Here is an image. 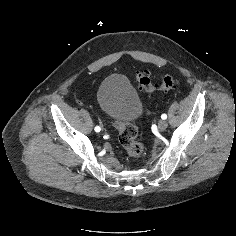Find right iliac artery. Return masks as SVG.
<instances>
[{"instance_id": "1", "label": "right iliac artery", "mask_w": 236, "mask_h": 236, "mask_svg": "<svg viewBox=\"0 0 236 236\" xmlns=\"http://www.w3.org/2000/svg\"><path fill=\"white\" fill-rule=\"evenodd\" d=\"M96 132H100L101 128L99 126H96L94 129Z\"/></svg>"}]
</instances>
